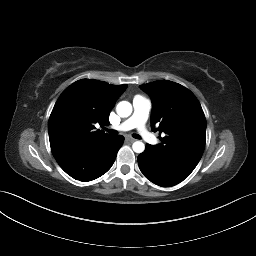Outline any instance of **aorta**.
I'll list each match as a JSON object with an SVG mask.
<instances>
[{
  "label": "aorta",
  "mask_w": 256,
  "mask_h": 256,
  "mask_svg": "<svg viewBox=\"0 0 256 256\" xmlns=\"http://www.w3.org/2000/svg\"><path fill=\"white\" fill-rule=\"evenodd\" d=\"M117 114L126 118L129 117L132 113V105L128 101H121L116 106ZM132 149L136 153H142L145 150V144L142 141H135L132 145Z\"/></svg>",
  "instance_id": "1"
}]
</instances>
